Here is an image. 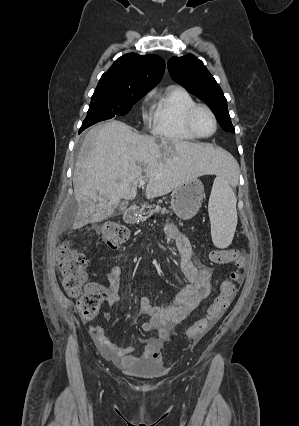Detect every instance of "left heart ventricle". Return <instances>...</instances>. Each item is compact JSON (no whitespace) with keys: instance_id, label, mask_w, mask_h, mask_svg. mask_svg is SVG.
Listing matches in <instances>:
<instances>
[{"instance_id":"1","label":"left heart ventricle","mask_w":299,"mask_h":426,"mask_svg":"<svg viewBox=\"0 0 299 426\" xmlns=\"http://www.w3.org/2000/svg\"><path fill=\"white\" fill-rule=\"evenodd\" d=\"M194 126L201 135H209L214 130L211 116L204 110H200L194 118Z\"/></svg>"}]
</instances>
